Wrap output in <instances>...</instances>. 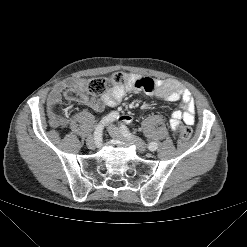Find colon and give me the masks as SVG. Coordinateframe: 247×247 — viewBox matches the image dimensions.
Segmentation results:
<instances>
[{"label": "colon", "instance_id": "colon-1", "mask_svg": "<svg viewBox=\"0 0 247 247\" xmlns=\"http://www.w3.org/2000/svg\"><path fill=\"white\" fill-rule=\"evenodd\" d=\"M108 80L117 86H128V85H140L138 80L133 79L130 75L124 72H117L113 74L110 79L105 78H92L83 81L81 87L70 88L66 91V97L70 100H78L85 92L99 96L106 90ZM192 131L188 126H181L176 132V137L180 141H186L191 137Z\"/></svg>", "mask_w": 247, "mask_h": 247}]
</instances>
